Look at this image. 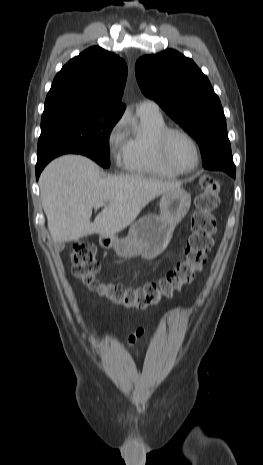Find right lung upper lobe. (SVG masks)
<instances>
[{
  "mask_svg": "<svg viewBox=\"0 0 263 465\" xmlns=\"http://www.w3.org/2000/svg\"><path fill=\"white\" fill-rule=\"evenodd\" d=\"M126 77L124 60L100 47H91L70 60L56 75L45 106L73 103L124 111L125 105L120 100Z\"/></svg>",
  "mask_w": 263,
  "mask_h": 465,
  "instance_id": "cb5924a9",
  "label": "right lung upper lobe"
}]
</instances>
